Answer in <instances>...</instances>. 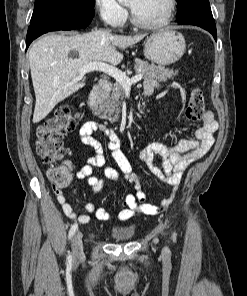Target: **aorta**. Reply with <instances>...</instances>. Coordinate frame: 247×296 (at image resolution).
<instances>
[{
  "label": "aorta",
  "instance_id": "obj_1",
  "mask_svg": "<svg viewBox=\"0 0 247 296\" xmlns=\"http://www.w3.org/2000/svg\"><path fill=\"white\" fill-rule=\"evenodd\" d=\"M128 0H118L119 3H125L127 2Z\"/></svg>",
  "mask_w": 247,
  "mask_h": 296
}]
</instances>
